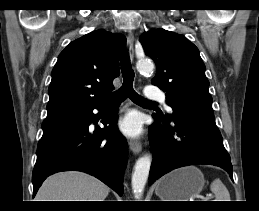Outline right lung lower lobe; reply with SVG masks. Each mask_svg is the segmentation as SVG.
Instances as JSON below:
<instances>
[{
	"instance_id": "1",
	"label": "right lung lower lobe",
	"mask_w": 259,
	"mask_h": 211,
	"mask_svg": "<svg viewBox=\"0 0 259 211\" xmlns=\"http://www.w3.org/2000/svg\"><path fill=\"white\" fill-rule=\"evenodd\" d=\"M93 109L105 115L103 124H109V128L89 129L92 122H98L99 115ZM93 109L43 121L32 176L33 196L49 175L66 170L89 173L123 195L128 147L115 126L116 108H109L106 103Z\"/></svg>"
}]
</instances>
